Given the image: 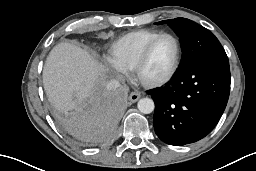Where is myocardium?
Returning a JSON list of instances; mask_svg holds the SVG:
<instances>
[{
    "label": "myocardium",
    "instance_id": "f54148a6",
    "mask_svg": "<svg viewBox=\"0 0 256 171\" xmlns=\"http://www.w3.org/2000/svg\"><path fill=\"white\" fill-rule=\"evenodd\" d=\"M165 37H170L175 42L176 53H175V58H174L173 64H172L170 70L168 71V73L166 75H164L163 77H161L159 79H155V80H146L142 77V69L145 66L146 62L148 61L154 46L157 44V42L159 40H161L162 38H165ZM180 60H181V45H180L178 38L171 33H166V32L161 33V34L157 35L156 37H154L151 41L148 42V44L143 49L141 55L137 59L135 65L132 69L134 79L139 84H141L142 86L147 87V88H156V87L163 86L164 84L169 82L174 77V75L177 72L178 67L180 65Z\"/></svg>",
    "mask_w": 256,
    "mask_h": 171
}]
</instances>
